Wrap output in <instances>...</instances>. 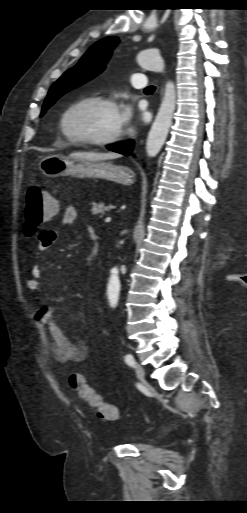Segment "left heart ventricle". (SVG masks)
Here are the masks:
<instances>
[{
  "mask_svg": "<svg viewBox=\"0 0 247 513\" xmlns=\"http://www.w3.org/2000/svg\"><path fill=\"white\" fill-rule=\"evenodd\" d=\"M66 127L73 135L101 138L120 127L117 107L99 103L82 104L68 116Z\"/></svg>",
  "mask_w": 247,
  "mask_h": 513,
  "instance_id": "left-heart-ventricle-1",
  "label": "left heart ventricle"
}]
</instances>
